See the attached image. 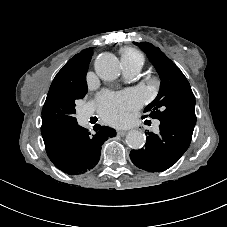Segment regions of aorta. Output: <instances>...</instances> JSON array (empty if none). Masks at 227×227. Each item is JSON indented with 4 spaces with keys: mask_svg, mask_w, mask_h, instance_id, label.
<instances>
[{
    "mask_svg": "<svg viewBox=\"0 0 227 227\" xmlns=\"http://www.w3.org/2000/svg\"><path fill=\"white\" fill-rule=\"evenodd\" d=\"M94 69L97 75L105 81L116 79L120 72V63L118 58L109 52L101 53L94 62ZM126 142L134 149L142 148L146 142L144 133L138 130H131L126 136Z\"/></svg>",
    "mask_w": 227,
    "mask_h": 227,
    "instance_id": "aorta-1",
    "label": "aorta"
}]
</instances>
